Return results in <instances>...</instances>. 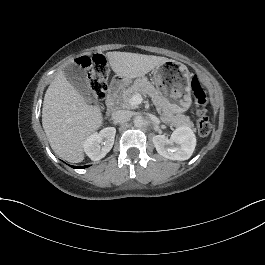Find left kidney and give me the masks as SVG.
<instances>
[{
  "label": "left kidney",
  "instance_id": "1",
  "mask_svg": "<svg viewBox=\"0 0 265 265\" xmlns=\"http://www.w3.org/2000/svg\"><path fill=\"white\" fill-rule=\"evenodd\" d=\"M152 141L157 152L170 160L184 161L189 159L196 146L195 134L186 125L178 126L170 139L164 135H156Z\"/></svg>",
  "mask_w": 265,
  "mask_h": 265
}]
</instances>
